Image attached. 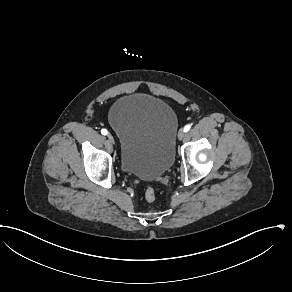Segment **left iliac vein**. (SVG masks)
Masks as SVG:
<instances>
[{
	"label": "left iliac vein",
	"instance_id": "4c4485c4",
	"mask_svg": "<svg viewBox=\"0 0 292 292\" xmlns=\"http://www.w3.org/2000/svg\"><path fill=\"white\" fill-rule=\"evenodd\" d=\"M184 137H185V132H184V130H180L179 133H178V139H179V140H182Z\"/></svg>",
	"mask_w": 292,
	"mask_h": 292
}]
</instances>
